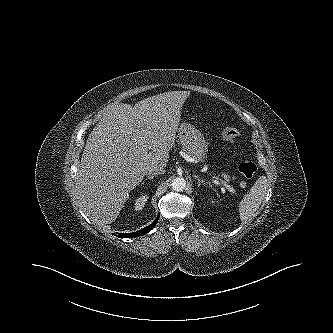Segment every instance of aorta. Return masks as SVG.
Segmentation results:
<instances>
[{
	"label": "aorta",
	"mask_w": 333,
	"mask_h": 333,
	"mask_svg": "<svg viewBox=\"0 0 333 333\" xmlns=\"http://www.w3.org/2000/svg\"><path fill=\"white\" fill-rule=\"evenodd\" d=\"M186 186V181L181 177H176L172 180L171 187L174 191H183Z\"/></svg>",
	"instance_id": "1"
}]
</instances>
